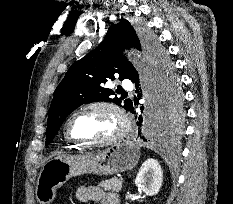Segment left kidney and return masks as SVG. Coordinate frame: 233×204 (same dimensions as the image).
I'll list each match as a JSON object with an SVG mask.
<instances>
[{
	"label": "left kidney",
	"mask_w": 233,
	"mask_h": 204,
	"mask_svg": "<svg viewBox=\"0 0 233 204\" xmlns=\"http://www.w3.org/2000/svg\"><path fill=\"white\" fill-rule=\"evenodd\" d=\"M163 182V172L161 166L155 159L146 160L135 179V184L139 190L147 196L156 195Z\"/></svg>",
	"instance_id": "obj_1"
}]
</instances>
